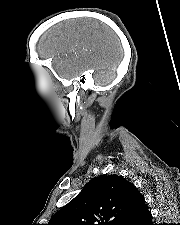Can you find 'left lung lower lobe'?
I'll use <instances>...</instances> for the list:
<instances>
[{"instance_id": "0a47b994", "label": "left lung lower lobe", "mask_w": 180, "mask_h": 225, "mask_svg": "<svg viewBox=\"0 0 180 225\" xmlns=\"http://www.w3.org/2000/svg\"><path fill=\"white\" fill-rule=\"evenodd\" d=\"M124 225H154L151 219V213L145 206L138 213L128 219Z\"/></svg>"}]
</instances>
